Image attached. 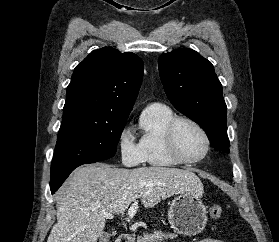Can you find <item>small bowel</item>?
I'll return each mask as SVG.
<instances>
[{"label":"small bowel","instance_id":"small-bowel-1","mask_svg":"<svg viewBox=\"0 0 279 242\" xmlns=\"http://www.w3.org/2000/svg\"><path fill=\"white\" fill-rule=\"evenodd\" d=\"M198 242H224V241H221L219 239L206 238V239L200 240Z\"/></svg>","mask_w":279,"mask_h":242}]
</instances>
